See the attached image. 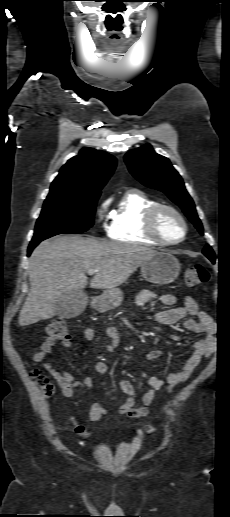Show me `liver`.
<instances>
[{
	"instance_id": "obj_1",
	"label": "liver",
	"mask_w": 230,
	"mask_h": 517,
	"mask_svg": "<svg viewBox=\"0 0 230 517\" xmlns=\"http://www.w3.org/2000/svg\"><path fill=\"white\" fill-rule=\"evenodd\" d=\"M156 253L149 247L80 236H58L41 242L30 257V291L19 314V325L55 316L56 299L70 290L85 288L89 269L97 270L91 288L113 289Z\"/></svg>"
}]
</instances>
